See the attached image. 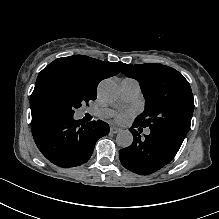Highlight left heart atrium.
<instances>
[{
  "mask_svg": "<svg viewBox=\"0 0 219 219\" xmlns=\"http://www.w3.org/2000/svg\"><path fill=\"white\" fill-rule=\"evenodd\" d=\"M127 114H119V115H117V117H116V120L118 121V122H123V121H125V119L127 118Z\"/></svg>",
  "mask_w": 219,
  "mask_h": 219,
  "instance_id": "left-heart-atrium-1",
  "label": "left heart atrium"
}]
</instances>
